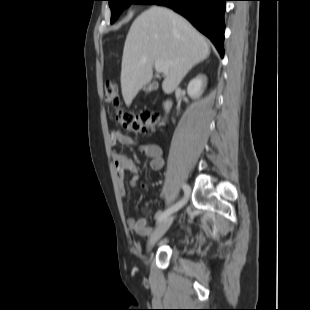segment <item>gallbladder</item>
<instances>
[{
    "instance_id": "gallbladder-1",
    "label": "gallbladder",
    "mask_w": 310,
    "mask_h": 310,
    "mask_svg": "<svg viewBox=\"0 0 310 310\" xmlns=\"http://www.w3.org/2000/svg\"><path fill=\"white\" fill-rule=\"evenodd\" d=\"M158 88V83L157 82H152L149 84L148 88H147V91H153V90H156Z\"/></svg>"
}]
</instances>
